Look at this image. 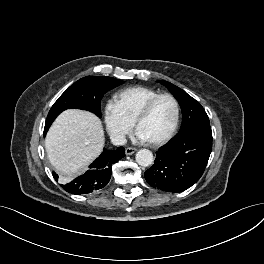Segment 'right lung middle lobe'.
<instances>
[{"label":"right lung middle lobe","instance_id":"dd1d6c3e","mask_svg":"<svg viewBox=\"0 0 264 264\" xmlns=\"http://www.w3.org/2000/svg\"><path fill=\"white\" fill-rule=\"evenodd\" d=\"M123 84L122 80L111 77L87 76L70 86L54 103L46 119L48 129L54 119L65 109H85L101 116L100 102L103 95Z\"/></svg>","mask_w":264,"mask_h":264}]
</instances>
